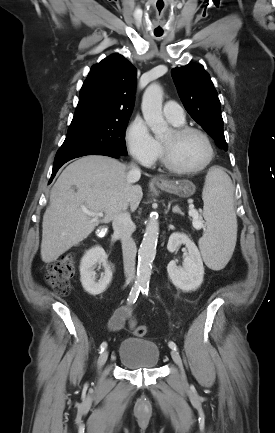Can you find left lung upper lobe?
Returning a JSON list of instances; mask_svg holds the SVG:
<instances>
[{
    "label": "left lung upper lobe",
    "instance_id": "5c2ea615",
    "mask_svg": "<svg viewBox=\"0 0 275 433\" xmlns=\"http://www.w3.org/2000/svg\"><path fill=\"white\" fill-rule=\"evenodd\" d=\"M172 77L190 116L215 140L220 149L227 150L220 101L203 66L191 63L174 68Z\"/></svg>",
    "mask_w": 275,
    "mask_h": 433
}]
</instances>
